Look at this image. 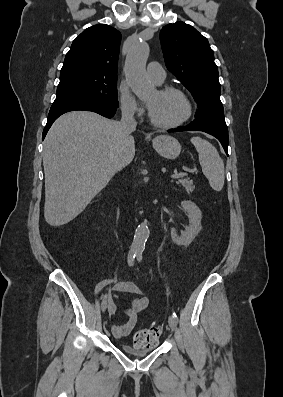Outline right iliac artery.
I'll list each match as a JSON object with an SVG mask.
<instances>
[{"label":"right iliac artery","mask_w":283,"mask_h":397,"mask_svg":"<svg viewBox=\"0 0 283 397\" xmlns=\"http://www.w3.org/2000/svg\"><path fill=\"white\" fill-rule=\"evenodd\" d=\"M137 255V251L135 250H130L128 253V264L129 266H132L134 263L135 256ZM116 281V280H105L103 283L99 284L96 288V292L100 293L101 288H103L106 284H110L111 282ZM105 298V297H104Z\"/></svg>","instance_id":"right-iliac-artery-1"}]
</instances>
